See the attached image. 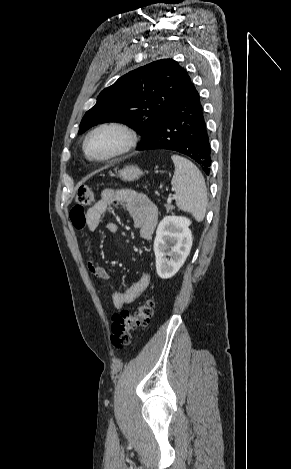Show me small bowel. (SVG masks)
<instances>
[{"label": "small bowel", "instance_id": "1", "mask_svg": "<svg viewBox=\"0 0 291 469\" xmlns=\"http://www.w3.org/2000/svg\"><path fill=\"white\" fill-rule=\"evenodd\" d=\"M121 204L131 215L134 226L140 230L141 237L148 240L151 238L158 220L156 206L143 194L131 189L102 191L99 200L87 211L82 212L79 218L70 214L73 226L83 229L87 226L90 230H95L101 224L106 211L115 205ZM110 233H116L118 226L114 222L106 224ZM89 248V243L86 242ZM88 269L91 274L99 280L108 282L109 273L103 266L95 260L89 259ZM150 284L148 272L143 269L138 281L126 290H115L112 294V302L116 309H121L124 305L133 303L139 299Z\"/></svg>", "mask_w": 291, "mask_h": 469}]
</instances>
